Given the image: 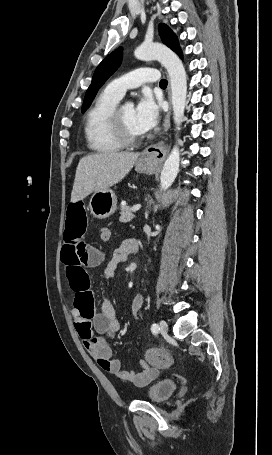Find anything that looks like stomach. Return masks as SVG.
I'll return each instance as SVG.
<instances>
[{
  "label": "stomach",
  "mask_w": 272,
  "mask_h": 455,
  "mask_svg": "<svg viewBox=\"0 0 272 455\" xmlns=\"http://www.w3.org/2000/svg\"><path fill=\"white\" fill-rule=\"evenodd\" d=\"M157 169L155 159L142 155L135 162V170L139 173L153 174ZM117 208V198L111 189L94 192L89 202L91 214L97 219L111 216Z\"/></svg>",
  "instance_id": "0dacf381"
}]
</instances>
